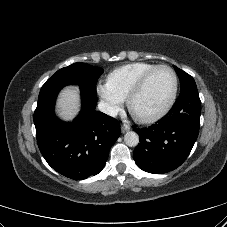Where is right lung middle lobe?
<instances>
[{"mask_svg": "<svg viewBox=\"0 0 227 227\" xmlns=\"http://www.w3.org/2000/svg\"><path fill=\"white\" fill-rule=\"evenodd\" d=\"M102 73V68L78 62L58 70L44 85L76 84L88 93L97 96L96 83Z\"/></svg>", "mask_w": 227, "mask_h": 227, "instance_id": "dd1d6c3e", "label": "right lung middle lobe"}]
</instances>
